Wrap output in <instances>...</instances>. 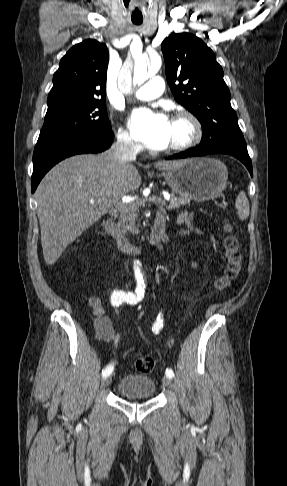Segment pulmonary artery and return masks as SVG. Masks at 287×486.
<instances>
[{"mask_svg": "<svg viewBox=\"0 0 287 486\" xmlns=\"http://www.w3.org/2000/svg\"><path fill=\"white\" fill-rule=\"evenodd\" d=\"M164 89V82L160 77L151 78L143 86L134 91L133 96L139 100H152L159 97Z\"/></svg>", "mask_w": 287, "mask_h": 486, "instance_id": "obj_1", "label": "pulmonary artery"}]
</instances>
